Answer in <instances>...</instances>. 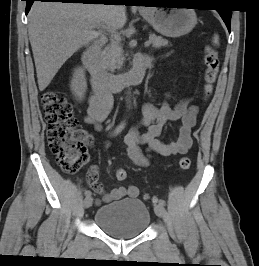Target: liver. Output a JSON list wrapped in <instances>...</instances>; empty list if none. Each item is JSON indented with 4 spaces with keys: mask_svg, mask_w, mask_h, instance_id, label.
<instances>
[{
    "mask_svg": "<svg viewBox=\"0 0 259 266\" xmlns=\"http://www.w3.org/2000/svg\"><path fill=\"white\" fill-rule=\"evenodd\" d=\"M127 21L125 6L61 2H34L28 15L39 90L43 91L61 66L79 49Z\"/></svg>",
    "mask_w": 259,
    "mask_h": 266,
    "instance_id": "obj_1",
    "label": "liver"
}]
</instances>
